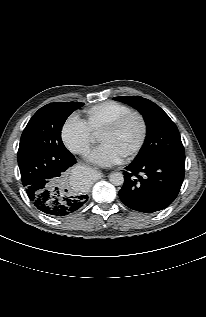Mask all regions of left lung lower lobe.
I'll return each mask as SVG.
<instances>
[{"mask_svg":"<svg viewBox=\"0 0 206 317\" xmlns=\"http://www.w3.org/2000/svg\"><path fill=\"white\" fill-rule=\"evenodd\" d=\"M125 169L120 200L127 207L145 213L168 207L177 197L185 173L184 164L169 160L131 162Z\"/></svg>","mask_w":206,"mask_h":317,"instance_id":"0a47b994","label":"left lung lower lobe"}]
</instances>
